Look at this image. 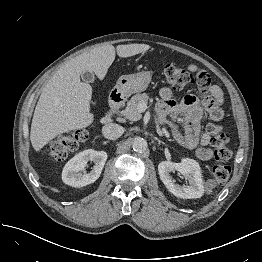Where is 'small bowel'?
Returning a JSON list of instances; mask_svg holds the SVG:
<instances>
[{"mask_svg":"<svg viewBox=\"0 0 262 262\" xmlns=\"http://www.w3.org/2000/svg\"><path fill=\"white\" fill-rule=\"evenodd\" d=\"M187 69L198 76L200 97L188 95L177 103L173 92L164 87L160 90L159 110L162 114L171 111L175 116L182 118L183 130L173 127L171 129L173 138L187 149H197L198 157L207 161L213 157V152L208 147L211 136L208 131H200L201 118L203 113H207L211 120H221L223 92L218 85L212 83L208 74L204 77L200 76L202 70L197 65L190 64Z\"/></svg>","mask_w":262,"mask_h":262,"instance_id":"obj_1","label":"small bowel"}]
</instances>
